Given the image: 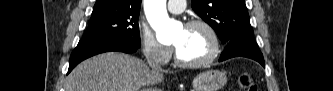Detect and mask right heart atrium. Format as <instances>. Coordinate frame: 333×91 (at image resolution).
<instances>
[{
    "instance_id": "right-heart-atrium-1",
    "label": "right heart atrium",
    "mask_w": 333,
    "mask_h": 91,
    "mask_svg": "<svg viewBox=\"0 0 333 91\" xmlns=\"http://www.w3.org/2000/svg\"><path fill=\"white\" fill-rule=\"evenodd\" d=\"M138 39L142 52L148 61L166 64L170 60L173 53L172 48L162 44L145 23L139 24Z\"/></svg>"
}]
</instances>
